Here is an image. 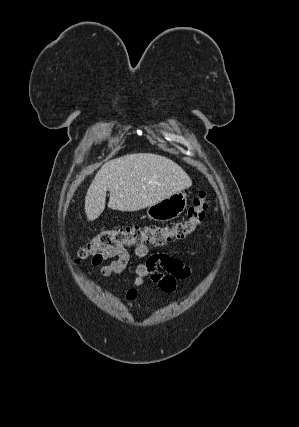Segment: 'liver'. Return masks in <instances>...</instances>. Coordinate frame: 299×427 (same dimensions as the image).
I'll return each mask as SVG.
<instances>
[{
  "label": "liver",
  "instance_id": "1",
  "mask_svg": "<svg viewBox=\"0 0 299 427\" xmlns=\"http://www.w3.org/2000/svg\"><path fill=\"white\" fill-rule=\"evenodd\" d=\"M188 174L172 160L152 153H135L106 162L97 172L85 197L89 221L97 219L108 207L133 212L156 204L189 188Z\"/></svg>",
  "mask_w": 299,
  "mask_h": 427
}]
</instances>
